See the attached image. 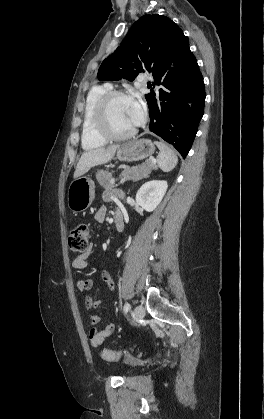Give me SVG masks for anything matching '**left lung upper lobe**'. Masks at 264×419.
<instances>
[{
	"label": "left lung upper lobe",
	"instance_id": "obj_1",
	"mask_svg": "<svg viewBox=\"0 0 264 419\" xmlns=\"http://www.w3.org/2000/svg\"><path fill=\"white\" fill-rule=\"evenodd\" d=\"M182 30L169 18L153 14L136 21L120 46L109 55L98 70L99 80L133 81L144 71L154 78L163 68L168 45L182 34Z\"/></svg>",
	"mask_w": 264,
	"mask_h": 419
}]
</instances>
